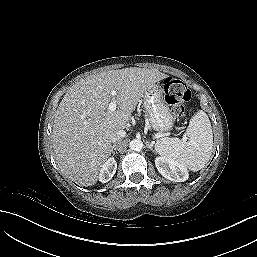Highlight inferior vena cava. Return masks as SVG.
<instances>
[{"instance_id":"obj_1","label":"inferior vena cava","mask_w":257,"mask_h":257,"mask_svg":"<svg viewBox=\"0 0 257 257\" xmlns=\"http://www.w3.org/2000/svg\"><path fill=\"white\" fill-rule=\"evenodd\" d=\"M126 132L124 130H118L111 136V142L115 143L121 138L125 137Z\"/></svg>"}]
</instances>
